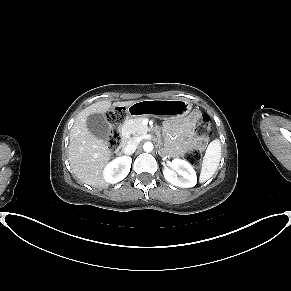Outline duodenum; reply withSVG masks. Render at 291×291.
I'll return each mask as SVG.
<instances>
[{"instance_id": "obj_1", "label": "duodenum", "mask_w": 291, "mask_h": 291, "mask_svg": "<svg viewBox=\"0 0 291 291\" xmlns=\"http://www.w3.org/2000/svg\"><path fill=\"white\" fill-rule=\"evenodd\" d=\"M137 114H139L138 112H135V113H131V117H133V116H135V115H137ZM127 135H126V133H123L122 134V143L120 144V146H118L117 148H116V152L118 153V154H121L122 152H123V150H125L126 148H127Z\"/></svg>"}]
</instances>
